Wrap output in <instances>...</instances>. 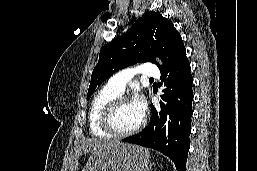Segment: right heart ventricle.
<instances>
[{
	"label": "right heart ventricle",
	"instance_id": "e07e8e85",
	"mask_svg": "<svg viewBox=\"0 0 257 171\" xmlns=\"http://www.w3.org/2000/svg\"><path fill=\"white\" fill-rule=\"evenodd\" d=\"M121 94L113 91L107 85L101 88L94 96L89 112H88V125L89 131L92 136L99 138H109L110 134L105 132L101 127V114L104 107L113 99Z\"/></svg>",
	"mask_w": 257,
	"mask_h": 171
}]
</instances>
